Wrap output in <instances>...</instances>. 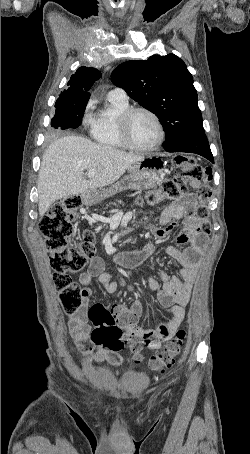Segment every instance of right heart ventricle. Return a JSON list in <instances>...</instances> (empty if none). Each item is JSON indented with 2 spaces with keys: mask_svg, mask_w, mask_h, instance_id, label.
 <instances>
[{
  "mask_svg": "<svg viewBox=\"0 0 250 454\" xmlns=\"http://www.w3.org/2000/svg\"><path fill=\"white\" fill-rule=\"evenodd\" d=\"M108 101L107 109L90 116V134L102 146L124 149L126 147L119 135L117 118L121 112L129 108V103L109 97Z\"/></svg>",
  "mask_w": 250,
  "mask_h": 454,
  "instance_id": "obj_1",
  "label": "right heart ventricle"
}]
</instances>
